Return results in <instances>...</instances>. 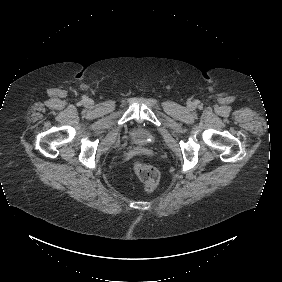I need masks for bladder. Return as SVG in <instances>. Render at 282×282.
<instances>
[{
  "mask_svg": "<svg viewBox=\"0 0 282 282\" xmlns=\"http://www.w3.org/2000/svg\"><path fill=\"white\" fill-rule=\"evenodd\" d=\"M131 140L137 145H149L154 140V135L150 130L138 127L131 132Z\"/></svg>",
  "mask_w": 282,
  "mask_h": 282,
  "instance_id": "obj_1",
  "label": "bladder"
}]
</instances>
